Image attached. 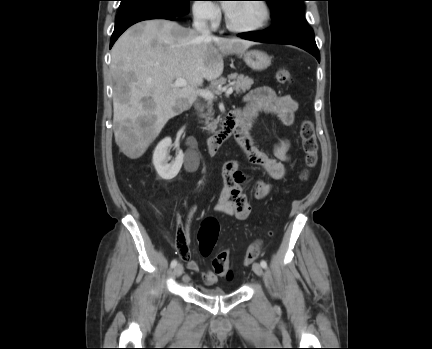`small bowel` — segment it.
<instances>
[{
    "mask_svg": "<svg viewBox=\"0 0 432 349\" xmlns=\"http://www.w3.org/2000/svg\"><path fill=\"white\" fill-rule=\"evenodd\" d=\"M245 101L247 106L243 111H239L241 121L234 133L235 140L249 163L262 169L270 178L280 180L286 174L285 163L290 159V142L287 139L277 141L274 145V157H270L255 145L250 135V129L260 112L273 114L284 125L291 126L294 123L298 102L290 95L277 94L274 89L268 86L252 89L246 95ZM198 165V155L194 151H189L185 158V169L193 172L197 170ZM222 174L224 186L219 195L216 210L239 220L247 219L251 213V206L244 191L246 186L250 187L253 197L257 200L264 199L271 191V184L268 181L255 179L243 172L238 160L226 161L223 165ZM193 209L194 206L191 210ZM180 239L183 240V244L179 243ZM176 241L179 255L187 261L188 269L199 272L197 261L190 260L187 239L181 229H179ZM200 274L206 285H213L217 282V275L211 270Z\"/></svg>",
    "mask_w": 432,
    "mask_h": 349,
    "instance_id": "small-bowel-1",
    "label": "small bowel"
}]
</instances>
